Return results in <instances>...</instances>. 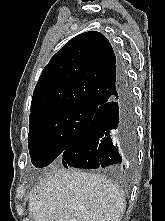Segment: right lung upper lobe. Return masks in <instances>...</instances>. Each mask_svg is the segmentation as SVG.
<instances>
[{"instance_id": "obj_1", "label": "right lung upper lobe", "mask_w": 165, "mask_h": 221, "mask_svg": "<svg viewBox=\"0 0 165 221\" xmlns=\"http://www.w3.org/2000/svg\"><path fill=\"white\" fill-rule=\"evenodd\" d=\"M113 48L99 32H85L64 45L43 69L35 87L31 115L65 106L97 109L119 87Z\"/></svg>"}]
</instances>
